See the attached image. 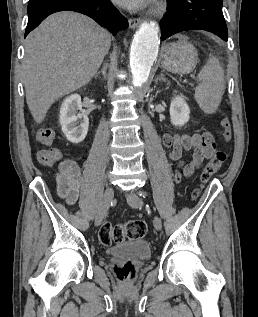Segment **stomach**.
I'll return each mask as SVG.
<instances>
[{"label":"stomach","instance_id":"0dacf381","mask_svg":"<svg viewBox=\"0 0 258 317\" xmlns=\"http://www.w3.org/2000/svg\"><path fill=\"white\" fill-rule=\"evenodd\" d=\"M161 62L169 72L189 74L198 62V52L187 38H179L176 42H168L161 48Z\"/></svg>","mask_w":258,"mask_h":317}]
</instances>
